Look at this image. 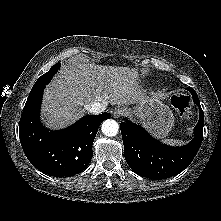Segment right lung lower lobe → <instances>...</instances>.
Listing matches in <instances>:
<instances>
[{
    "instance_id": "98d812e1",
    "label": "right lung lower lobe",
    "mask_w": 221,
    "mask_h": 221,
    "mask_svg": "<svg viewBox=\"0 0 221 221\" xmlns=\"http://www.w3.org/2000/svg\"><path fill=\"white\" fill-rule=\"evenodd\" d=\"M44 88L31 90L28 96L19 123L21 145L28 160L40 171L71 176L88 166L100 122L109 119L110 114L85 116L64 130L50 131L39 121Z\"/></svg>"
}]
</instances>
